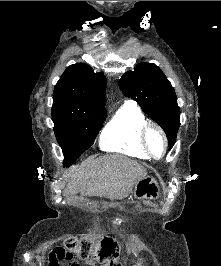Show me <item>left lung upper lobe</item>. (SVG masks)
Returning a JSON list of instances; mask_svg holds the SVG:
<instances>
[{"label":"left lung upper lobe","mask_w":221,"mask_h":266,"mask_svg":"<svg viewBox=\"0 0 221 266\" xmlns=\"http://www.w3.org/2000/svg\"><path fill=\"white\" fill-rule=\"evenodd\" d=\"M123 94L137 101L143 111L165 131L169 150L180 126L177 97L171 83L155 64L142 63L119 80Z\"/></svg>","instance_id":"5c2ea615"}]
</instances>
